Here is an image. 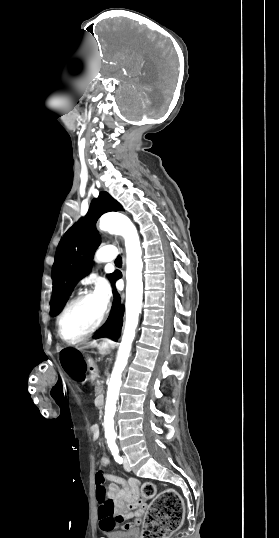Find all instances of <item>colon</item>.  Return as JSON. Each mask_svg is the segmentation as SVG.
<instances>
[{
    "mask_svg": "<svg viewBox=\"0 0 279 538\" xmlns=\"http://www.w3.org/2000/svg\"><path fill=\"white\" fill-rule=\"evenodd\" d=\"M104 482L105 475L97 472L95 483L99 516L107 518L114 516L115 506L108 495ZM141 491L144 499L151 500L150 508L144 519L142 537L169 538L183 521L184 503L181 496L173 489L157 493L156 486L152 483H145Z\"/></svg>",
    "mask_w": 279,
    "mask_h": 538,
    "instance_id": "obj_1",
    "label": "colon"
}]
</instances>
